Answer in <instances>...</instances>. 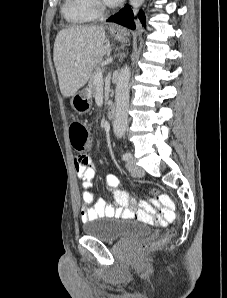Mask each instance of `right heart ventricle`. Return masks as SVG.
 <instances>
[{
	"label": "right heart ventricle",
	"mask_w": 227,
	"mask_h": 298,
	"mask_svg": "<svg viewBox=\"0 0 227 298\" xmlns=\"http://www.w3.org/2000/svg\"><path fill=\"white\" fill-rule=\"evenodd\" d=\"M62 14L73 25H86L97 18L93 0H64Z\"/></svg>",
	"instance_id": "obj_1"
}]
</instances>
